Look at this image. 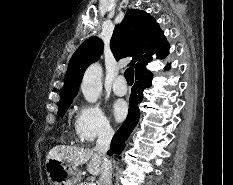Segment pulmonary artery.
Segmentation results:
<instances>
[{
	"mask_svg": "<svg viewBox=\"0 0 233 185\" xmlns=\"http://www.w3.org/2000/svg\"><path fill=\"white\" fill-rule=\"evenodd\" d=\"M113 91L119 96L125 95L127 93V85L124 76L120 75L115 79L113 84Z\"/></svg>",
	"mask_w": 233,
	"mask_h": 185,
	"instance_id": "e3ab8cb5",
	"label": "pulmonary artery"
}]
</instances>
